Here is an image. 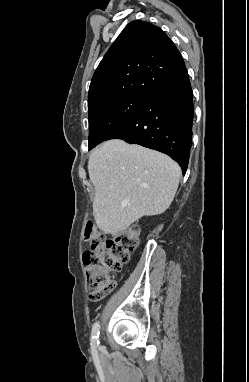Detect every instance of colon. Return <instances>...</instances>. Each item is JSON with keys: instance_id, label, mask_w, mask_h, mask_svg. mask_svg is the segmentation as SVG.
<instances>
[{"instance_id": "colon-1", "label": "colon", "mask_w": 249, "mask_h": 382, "mask_svg": "<svg viewBox=\"0 0 249 382\" xmlns=\"http://www.w3.org/2000/svg\"><path fill=\"white\" fill-rule=\"evenodd\" d=\"M139 234V228L132 226L115 239L106 240L97 233L92 221L86 223L84 237L90 241V250L82 258L92 300H101L114 290L115 280L109 273L120 272L130 260L138 247Z\"/></svg>"}]
</instances>
